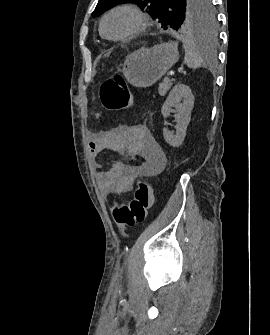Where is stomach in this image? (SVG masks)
Masks as SVG:
<instances>
[{
  "mask_svg": "<svg viewBox=\"0 0 270 335\" xmlns=\"http://www.w3.org/2000/svg\"><path fill=\"white\" fill-rule=\"evenodd\" d=\"M178 58L177 42H161L153 48H140L126 56L123 76L135 88H148L160 80Z\"/></svg>",
  "mask_w": 270,
  "mask_h": 335,
  "instance_id": "0dacf381",
  "label": "stomach"
}]
</instances>
